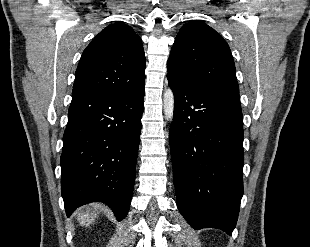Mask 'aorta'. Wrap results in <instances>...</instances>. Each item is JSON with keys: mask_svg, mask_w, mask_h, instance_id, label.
I'll return each mask as SVG.
<instances>
[{"mask_svg": "<svg viewBox=\"0 0 310 247\" xmlns=\"http://www.w3.org/2000/svg\"><path fill=\"white\" fill-rule=\"evenodd\" d=\"M163 107L166 119L172 121L174 114V95L170 88L166 89L163 94Z\"/></svg>", "mask_w": 310, "mask_h": 247, "instance_id": "obj_1", "label": "aorta"}]
</instances>
